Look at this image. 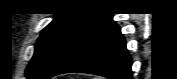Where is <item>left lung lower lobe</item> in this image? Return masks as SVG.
<instances>
[{
  "label": "left lung lower lobe",
  "instance_id": "left-lung-lower-lobe-1",
  "mask_svg": "<svg viewBox=\"0 0 177 79\" xmlns=\"http://www.w3.org/2000/svg\"><path fill=\"white\" fill-rule=\"evenodd\" d=\"M70 72L131 79V58L111 14L71 49L51 77Z\"/></svg>",
  "mask_w": 177,
  "mask_h": 79
}]
</instances>
